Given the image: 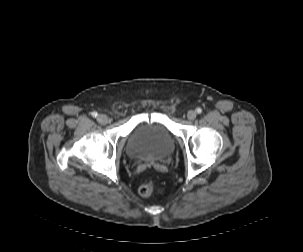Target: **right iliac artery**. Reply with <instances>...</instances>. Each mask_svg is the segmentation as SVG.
Segmentation results:
<instances>
[{
    "label": "right iliac artery",
    "mask_w": 303,
    "mask_h": 252,
    "mask_svg": "<svg viewBox=\"0 0 303 252\" xmlns=\"http://www.w3.org/2000/svg\"><path fill=\"white\" fill-rule=\"evenodd\" d=\"M97 115H98V113H97V112H95V111H94V112H92V116H93V117H97Z\"/></svg>",
    "instance_id": "obj_1"
}]
</instances>
